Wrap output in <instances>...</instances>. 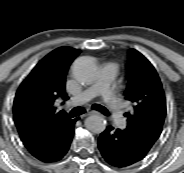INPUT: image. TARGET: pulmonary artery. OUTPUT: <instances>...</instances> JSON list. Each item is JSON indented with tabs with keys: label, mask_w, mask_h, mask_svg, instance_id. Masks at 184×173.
Returning a JSON list of instances; mask_svg holds the SVG:
<instances>
[{
	"label": "pulmonary artery",
	"mask_w": 184,
	"mask_h": 173,
	"mask_svg": "<svg viewBox=\"0 0 184 173\" xmlns=\"http://www.w3.org/2000/svg\"><path fill=\"white\" fill-rule=\"evenodd\" d=\"M98 90L103 91V98L106 103V107L111 112L112 116L116 120L121 121L123 119L122 110L119 108L118 103L112 96L111 90L108 85L107 77H105L104 82L102 84L92 87L91 93L97 92Z\"/></svg>",
	"instance_id": "1"
}]
</instances>
